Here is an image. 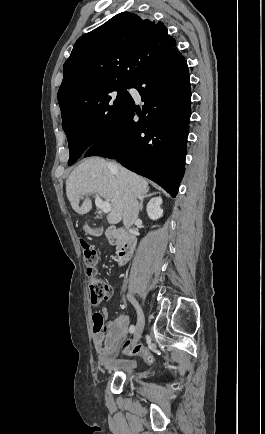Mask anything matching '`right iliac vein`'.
<instances>
[{
  "label": "right iliac vein",
  "mask_w": 265,
  "mask_h": 434,
  "mask_svg": "<svg viewBox=\"0 0 265 434\" xmlns=\"http://www.w3.org/2000/svg\"><path fill=\"white\" fill-rule=\"evenodd\" d=\"M134 303L135 306L137 308V312H138V320L135 326V330H134V339L132 342V347L134 348L136 346V344L140 341L141 339V335L143 332V327H144V316H143V312L141 310V307L138 305V303L136 302V300L131 297L128 296Z\"/></svg>",
  "instance_id": "1"
}]
</instances>
